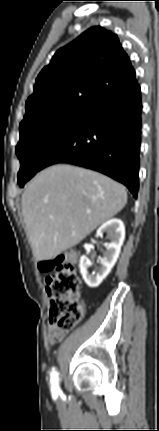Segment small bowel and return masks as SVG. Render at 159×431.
I'll return each mask as SVG.
<instances>
[{
    "mask_svg": "<svg viewBox=\"0 0 159 431\" xmlns=\"http://www.w3.org/2000/svg\"><path fill=\"white\" fill-rule=\"evenodd\" d=\"M67 335V331L60 329L55 324L48 327V337L51 342H60Z\"/></svg>",
    "mask_w": 159,
    "mask_h": 431,
    "instance_id": "1",
    "label": "small bowel"
}]
</instances>
